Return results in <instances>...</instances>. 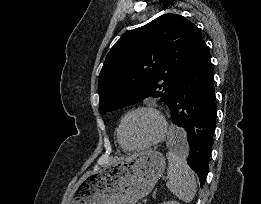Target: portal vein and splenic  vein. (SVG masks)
<instances>
[{"instance_id": "portal-vein-and-splenic-vein-1", "label": "portal vein and splenic vein", "mask_w": 261, "mask_h": 204, "mask_svg": "<svg viewBox=\"0 0 261 204\" xmlns=\"http://www.w3.org/2000/svg\"><path fill=\"white\" fill-rule=\"evenodd\" d=\"M143 203H146V199L143 200Z\"/></svg>"}]
</instances>
